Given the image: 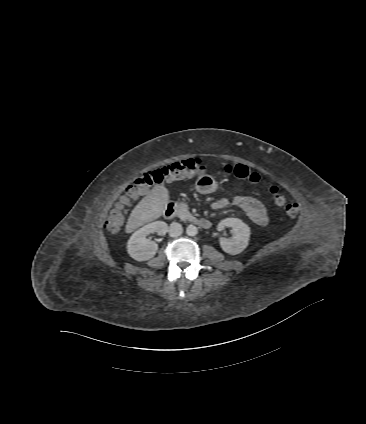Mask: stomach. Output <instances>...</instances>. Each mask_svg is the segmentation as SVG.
Segmentation results:
<instances>
[{
    "label": "stomach",
    "instance_id": "0dacf381",
    "mask_svg": "<svg viewBox=\"0 0 366 424\" xmlns=\"http://www.w3.org/2000/svg\"><path fill=\"white\" fill-rule=\"evenodd\" d=\"M197 192L201 194H210L219 190L218 182L208 174L200 175L194 184Z\"/></svg>",
    "mask_w": 366,
    "mask_h": 424
}]
</instances>
